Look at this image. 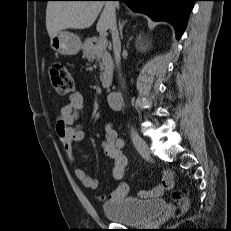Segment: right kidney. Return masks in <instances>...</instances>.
Here are the masks:
<instances>
[{"label": "right kidney", "mask_w": 231, "mask_h": 231, "mask_svg": "<svg viewBox=\"0 0 231 231\" xmlns=\"http://www.w3.org/2000/svg\"><path fill=\"white\" fill-rule=\"evenodd\" d=\"M140 40H141V36H139V38L137 40L136 47L141 51H145L147 48H146V46H143V43H141Z\"/></svg>", "instance_id": "1"}]
</instances>
